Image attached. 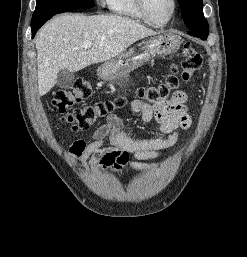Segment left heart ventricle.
Here are the masks:
<instances>
[{
    "label": "left heart ventricle",
    "instance_id": "obj_1",
    "mask_svg": "<svg viewBox=\"0 0 247 257\" xmlns=\"http://www.w3.org/2000/svg\"><path fill=\"white\" fill-rule=\"evenodd\" d=\"M150 16L157 22L165 21L172 12L171 0H147Z\"/></svg>",
    "mask_w": 247,
    "mask_h": 257
}]
</instances>
